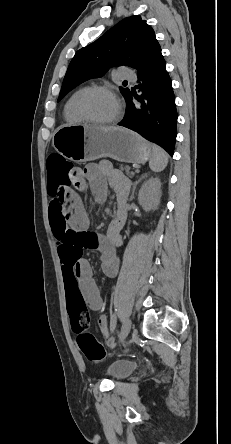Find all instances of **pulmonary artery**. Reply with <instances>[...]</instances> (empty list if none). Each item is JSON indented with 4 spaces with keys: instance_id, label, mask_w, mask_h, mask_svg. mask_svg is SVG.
<instances>
[{
    "instance_id": "obj_1",
    "label": "pulmonary artery",
    "mask_w": 231,
    "mask_h": 444,
    "mask_svg": "<svg viewBox=\"0 0 231 444\" xmlns=\"http://www.w3.org/2000/svg\"><path fill=\"white\" fill-rule=\"evenodd\" d=\"M121 74V78L130 81H136L137 77L133 74V72L127 68H121L119 70Z\"/></svg>"
}]
</instances>
